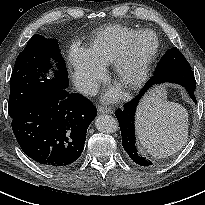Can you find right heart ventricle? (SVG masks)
Returning <instances> with one entry per match:
<instances>
[{"mask_svg":"<svg viewBox=\"0 0 205 205\" xmlns=\"http://www.w3.org/2000/svg\"><path fill=\"white\" fill-rule=\"evenodd\" d=\"M137 33V30L119 25L102 29L96 34L89 55L99 65H109L127 49L130 40Z\"/></svg>","mask_w":205,"mask_h":205,"instance_id":"e07e8e85","label":"right heart ventricle"}]
</instances>
